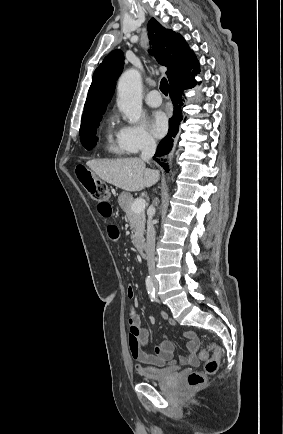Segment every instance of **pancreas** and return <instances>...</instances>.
Returning <instances> with one entry per match:
<instances>
[{
  "label": "pancreas",
  "mask_w": 283,
  "mask_h": 434,
  "mask_svg": "<svg viewBox=\"0 0 283 434\" xmlns=\"http://www.w3.org/2000/svg\"><path fill=\"white\" fill-rule=\"evenodd\" d=\"M135 201L132 200V202L123 208L126 218L130 223V227L132 229V243L134 246H138L141 241L144 239V231H145V213L142 212H134L132 210V204Z\"/></svg>",
  "instance_id": "cf45deb5"
}]
</instances>
